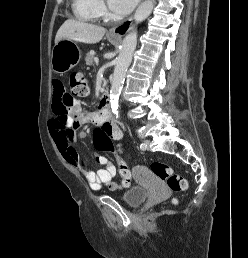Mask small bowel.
<instances>
[{"label":"small bowel","mask_w":248,"mask_h":258,"mask_svg":"<svg viewBox=\"0 0 248 258\" xmlns=\"http://www.w3.org/2000/svg\"><path fill=\"white\" fill-rule=\"evenodd\" d=\"M52 109L54 116L49 122V128L58 149L68 163L82 172L91 189L99 191L103 186H107L112 191H118L129 187L130 184L127 185L124 181L122 183L114 181L117 169L104 156L95 154L94 159L102 168L96 172L90 169L84 161L79 159L73 137L83 122L92 121L110 139L119 141L122 139V131L118 125L108 117H103L100 109L96 112L83 111L80 102L72 98L60 80L53 82ZM69 111H71V117ZM63 113H68L66 122L63 121ZM116 149L120 154L123 153L120 145H117Z\"/></svg>","instance_id":"small-bowel-1"}]
</instances>
